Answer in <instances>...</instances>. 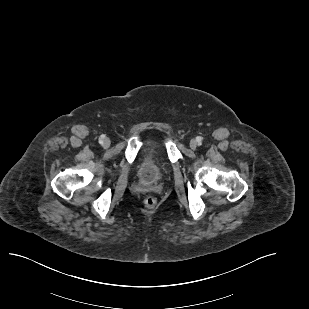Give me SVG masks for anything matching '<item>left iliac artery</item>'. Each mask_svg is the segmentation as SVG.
I'll use <instances>...</instances> for the list:
<instances>
[{
	"mask_svg": "<svg viewBox=\"0 0 309 309\" xmlns=\"http://www.w3.org/2000/svg\"><path fill=\"white\" fill-rule=\"evenodd\" d=\"M196 140H197V142L200 144V143L202 142V137L198 136V137L196 138Z\"/></svg>",
	"mask_w": 309,
	"mask_h": 309,
	"instance_id": "obj_1",
	"label": "left iliac artery"
}]
</instances>
